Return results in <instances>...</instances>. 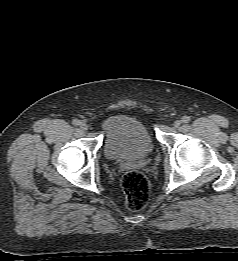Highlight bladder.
<instances>
[{
  "mask_svg": "<svg viewBox=\"0 0 238 261\" xmlns=\"http://www.w3.org/2000/svg\"><path fill=\"white\" fill-rule=\"evenodd\" d=\"M103 152L109 160H133L146 157L155 147L147 126L125 114L108 118L103 124Z\"/></svg>",
  "mask_w": 238,
  "mask_h": 261,
  "instance_id": "bladder-1",
  "label": "bladder"
}]
</instances>
